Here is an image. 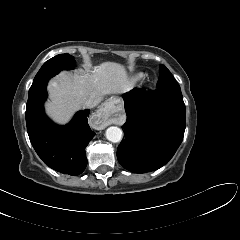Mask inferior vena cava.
Returning a JSON list of instances; mask_svg holds the SVG:
<instances>
[{
  "instance_id": "602c4592",
  "label": "inferior vena cava",
  "mask_w": 240,
  "mask_h": 240,
  "mask_svg": "<svg viewBox=\"0 0 240 240\" xmlns=\"http://www.w3.org/2000/svg\"><path fill=\"white\" fill-rule=\"evenodd\" d=\"M98 104V101L93 99V98H89L87 100H85L82 104V106L84 108H93Z\"/></svg>"
}]
</instances>
